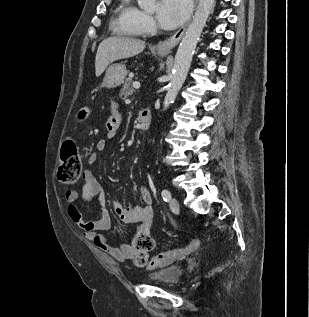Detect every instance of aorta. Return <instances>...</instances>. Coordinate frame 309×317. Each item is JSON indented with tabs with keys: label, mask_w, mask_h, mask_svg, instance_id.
Segmentation results:
<instances>
[{
	"label": "aorta",
	"mask_w": 309,
	"mask_h": 317,
	"mask_svg": "<svg viewBox=\"0 0 309 317\" xmlns=\"http://www.w3.org/2000/svg\"><path fill=\"white\" fill-rule=\"evenodd\" d=\"M156 0H138V5L145 11H153ZM215 0H199L193 20L189 24L181 43L178 47L171 81L168 84L167 93L163 102V110H166L175 100L187 77L192 57L206 25Z\"/></svg>",
	"instance_id": "762f6f07"
}]
</instances>
